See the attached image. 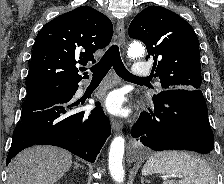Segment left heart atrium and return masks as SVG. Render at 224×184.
<instances>
[{"label":"left heart atrium","mask_w":224,"mask_h":184,"mask_svg":"<svg viewBox=\"0 0 224 184\" xmlns=\"http://www.w3.org/2000/svg\"><path fill=\"white\" fill-rule=\"evenodd\" d=\"M106 108L114 114L123 113L122 98L117 92L111 93L105 102Z\"/></svg>","instance_id":"1"}]
</instances>
